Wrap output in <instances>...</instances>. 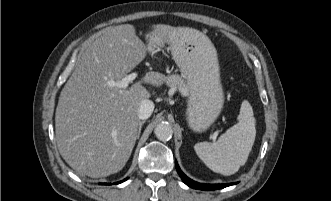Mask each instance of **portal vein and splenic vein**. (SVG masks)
Masks as SVG:
<instances>
[{"label": "portal vein and splenic vein", "instance_id": "obj_1", "mask_svg": "<svg viewBox=\"0 0 331 201\" xmlns=\"http://www.w3.org/2000/svg\"><path fill=\"white\" fill-rule=\"evenodd\" d=\"M137 77V73H131L129 75H126L124 78H122L120 81L115 82L112 81L110 82L111 86H116L122 89H126L128 87V84L132 82L135 78Z\"/></svg>", "mask_w": 331, "mask_h": 201}]
</instances>
